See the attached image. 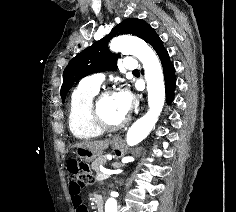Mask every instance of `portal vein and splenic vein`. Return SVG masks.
<instances>
[{
  "mask_svg": "<svg viewBox=\"0 0 236 212\" xmlns=\"http://www.w3.org/2000/svg\"><path fill=\"white\" fill-rule=\"evenodd\" d=\"M101 175L99 176L100 179H107L110 175L114 174L115 171L113 170H107V169H102L101 170Z\"/></svg>",
  "mask_w": 236,
  "mask_h": 212,
  "instance_id": "portal-vein-and-splenic-vein-1",
  "label": "portal vein and splenic vein"
}]
</instances>
